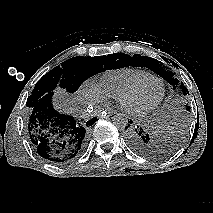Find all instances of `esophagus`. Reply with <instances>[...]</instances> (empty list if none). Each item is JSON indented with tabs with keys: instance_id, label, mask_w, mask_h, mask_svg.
Returning a JSON list of instances; mask_svg holds the SVG:
<instances>
[{
	"instance_id": "esophagus-1",
	"label": "esophagus",
	"mask_w": 213,
	"mask_h": 213,
	"mask_svg": "<svg viewBox=\"0 0 213 213\" xmlns=\"http://www.w3.org/2000/svg\"><path fill=\"white\" fill-rule=\"evenodd\" d=\"M115 114H117V111H115L113 109H109V110H106V111L102 112V115H104L106 117H110V116H113Z\"/></svg>"
}]
</instances>
